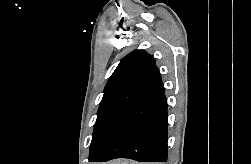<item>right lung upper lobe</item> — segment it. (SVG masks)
I'll list each match as a JSON object with an SVG mask.
<instances>
[{
	"label": "right lung upper lobe",
	"instance_id": "1",
	"mask_svg": "<svg viewBox=\"0 0 251 164\" xmlns=\"http://www.w3.org/2000/svg\"><path fill=\"white\" fill-rule=\"evenodd\" d=\"M162 82L154 58L144 50H136L124 57L109 78L104 94L119 89L145 90Z\"/></svg>",
	"mask_w": 251,
	"mask_h": 164
}]
</instances>
